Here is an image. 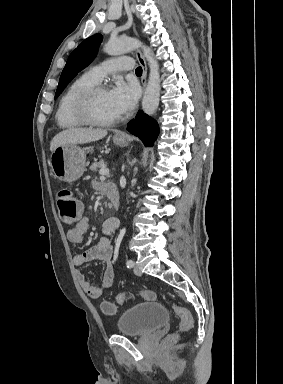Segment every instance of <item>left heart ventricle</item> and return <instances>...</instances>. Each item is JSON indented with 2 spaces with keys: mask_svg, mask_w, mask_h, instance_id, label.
Wrapping results in <instances>:
<instances>
[{
  "mask_svg": "<svg viewBox=\"0 0 283 384\" xmlns=\"http://www.w3.org/2000/svg\"><path fill=\"white\" fill-rule=\"evenodd\" d=\"M89 112L100 121H110L119 117L110 101L107 89L96 93L91 101Z\"/></svg>",
  "mask_w": 283,
  "mask_h": 384,
  "instance_id": "left-heart-ventricle-1",
  "label": "left heart ventricle"
}]
</instances>
